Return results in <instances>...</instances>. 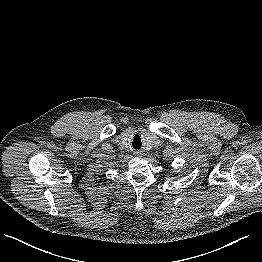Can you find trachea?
<instances>
[{
  "instance_id": "1",
  "label": "trachea",
  "mask_w": 262,
  "mask_h": 262,
  "mask_svg": "<svg viewBox=\"0 0 262 262\" xmlns=\"http://www.w3.org/2000/svg\"><path fill=\"white\" fill-rule=\"evenodd\" d=\"M141 146V141H138L137 139L133 140V147L139 148Z\"/></svg>"
}]
</instances>
